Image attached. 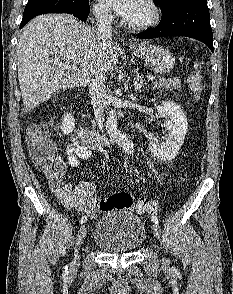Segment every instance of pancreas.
Masks as SVG:
<instances>
[{
	"mask_svg": "<svg viewBox=\"0 0 233 294\" xmlns=\"http://www.w3.org/2000/svg\"><path fill=\"white\" fill-rule=\"evenodd\" d=\"M153 85L156 88H165L166 90H177L181 87L180 79L178 78L159 79L158 81L154 82Z\"/></svg>",
	"mask_w": 233,
	"mask_h": 294,
	"instance_id": "cf45deb5",
	"label": "pancreas"
}]
</instances>
